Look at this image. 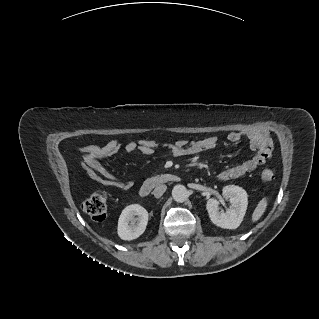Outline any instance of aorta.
I'll return each mask as SVG.
<instances>
[{"mask_svg":"<svg viewBox=\"0 0 319 319\" xmlns=\"http://www.w3.org/2000/svg\"><path fill=\"white\" fill-rule=\"evenodd\" d=\"M189 196V192L184 185H175L172 189V197L173 199L178 202L182 203L187 200Z\"/></svg>","mask_w":319,"mask_h":319,"instance_id":"762f6f07","label":"aorta"}]
</instances>
